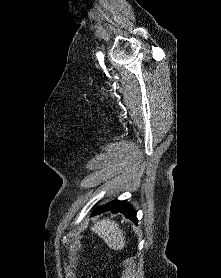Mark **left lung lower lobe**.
<instances>
[{
	"label": "left lung lower lobe",
	"instance_id": "left-lung-lower-lobe-1",
	"mask_svg": "<svg viewBox=\"0 0 221 278\" xmlns=\"http://www.w3.org/2000/svg\"><path fill=\"white\" fill-rule=\"evenodd\" d=\"M108 210H111L112 213L121 212L125 215L126 218L131 219L133 222L137 223L136 211H134L133 207L125 201L115 200L109 202L108 204L97 208L92 215L100 214Z\"/></svg>",
	"mask_w": 221,
	"mask_h": 278
}]
</instances>
